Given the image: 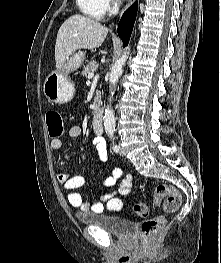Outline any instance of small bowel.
Listing matches in <instances>:
<instances>
[{
	"label": "small bowel",
	"mask_w": 221,
	"mask_h": 263,
	"mask_svg": "<svg viewBox=\"0 0 221 263\" xmlns=\"http://www.w3.org/2000/svg\"><path fill=\"white\" fill-rule=\"evenodd\" d=\"M80 134L81 129L77 125L71 126L68 130V135L70 138H78ZM92 145L95 149L98 159L101 162H106L108 160V151L104 138L101 136L94 137L92 140ZM61 146V139H53L51 141V148L53 150H59ZM63 158L69 164L72 163V159L68 155H64ZM121 175L122 170L120 168H115L111 175L102 181V185L107 188L113 187ZM57 180L63 185L64 189L68 191L67 199L72 207L77 208L80 212L90 211L92 213L98 214L101 213L105 208L111 211L121 209L122 201L117 195H127L130 193L133 177L132 175L128 174L122 180L118 192L109 193L92 203L85 202L82 195L74 191L75 189L83 186L84 178L82 176L71 175L69 173H60L57 175Z\"/></svg>",
	"instance_id": "obj_1"
}]
</instances>
